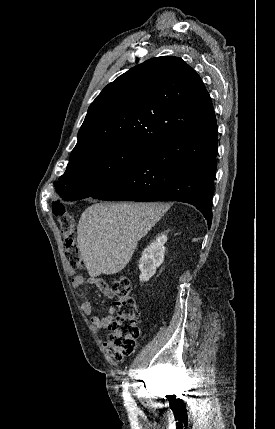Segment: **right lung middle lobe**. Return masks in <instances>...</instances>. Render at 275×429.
I'll use <instances>...</instances> for the list:
<instances>
[{"instance_id": "1", "label": "right lung middle lobe", "mask_w": 275, "mask_h": 429, "mask_svg": "<svg viewBox=\"0 0 275 429\" xmlns=\"http://www.w3.org/2000/svg\"><path fill=\"white\" fill-rule=\"evenodd\" d=\"M149 151L131 144L99 149L69 162L54 185L64 200L92 197L137 168Z\"/></svg>"}]
</instances>
